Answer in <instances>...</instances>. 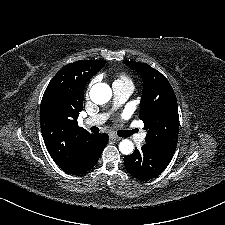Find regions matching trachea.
<instances>
[{"label": "trachea", "instance_id": "1", "mask_svg": "<svg viewBox=\"0 0 225 225\" xmlns=\"http://www.w3.org/2000/svg\"><path fill=\"white\" fill-rule=\"evenodd\" d=\"M92 132H95L94 127L91 128ZM135 130H132V132ZM131 134L128 132H123L120 136L121 137H129Z\"/></svg>", "mask_w": 225, "mask_h": 225}]
</instances>
